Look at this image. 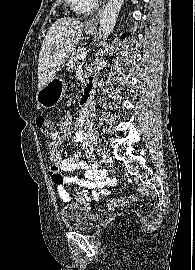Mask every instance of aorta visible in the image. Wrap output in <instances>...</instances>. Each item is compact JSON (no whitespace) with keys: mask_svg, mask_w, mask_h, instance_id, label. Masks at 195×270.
Masks as SVG:
<instances>
[{"mask_svg":"<svg viewBox=\"0 0 195 270\" xmlns=\"http://www.w3.org/2000/svg\"><path fill=\"white\" fill-rule=\"evenodd\" d=\"M124 0H108L99 23L100 34L107 39L112 33Z\"/></svg>","mask_w":195,"mask_h":270,"instance_id":"aorta-1","label":"aorta"}]
</instances>
